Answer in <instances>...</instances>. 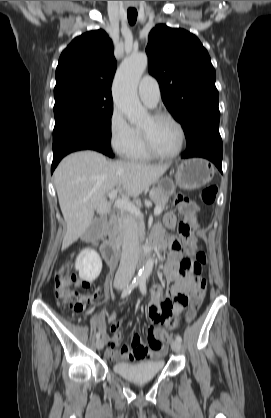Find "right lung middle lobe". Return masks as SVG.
<instances>
[{
	"mask_svg": "<svg viewBox=\"0 0 271 418\" xmlns=\"http://www.w3.org/2000/svg\"><path fill=\"white\" fill-rule=\"evenodd\" d=\"M112 111V99L78 97L56 101L53 143L91 132L110 136Z\"/></svg>",
	"mask_w": 271,
	"mask_h": 418,
	"instance_id": "dd1d6c3e",
	"label": "right lung middle lobe"
}]
</instances>
